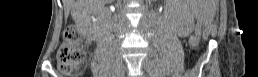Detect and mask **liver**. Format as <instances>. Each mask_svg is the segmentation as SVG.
<instances>
[{"label": "liver", "instance_id": "liver-1", "mask_svg": "<svg viewBox=\"0 0 258 77\" xmlns=\"http://www.w3.org/2000/svg\"><path fill=\"white\" fill-rule=\"evenodd\" d=\"M102 2H103L102 0H77V1L63 0V5H64L65 14L67 15L69 11L73 8H76V10H79V8L85 7L89 4H100ZM72 16L74 19L77 20V22H79V17L75 10L72 12Z\"/></svg>", "mask_w": 258, "mask_h": 77}]
</instances>
